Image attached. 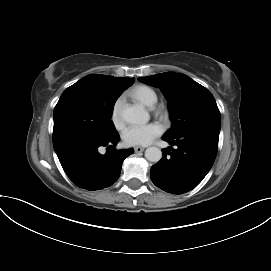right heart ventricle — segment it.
<instances>
[{
    "label": "right heart ventricle",
    "instance_id": "right-heart-ventricle-1",
    "mask_svg": "<svg viewBox=\"0 0 271 271\" xmlns=\"http://www.w3.org/2000/svg\"><path fill=\"white\" fill-rule=\"evenodd\" d=\"M132 97L147 107H153L158 100L157 93L149 86L140 85L131 91Z\"/></svg>",
    "mask_w": 271,
    "mask_h": 271
}]
</instances>
